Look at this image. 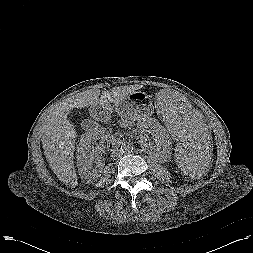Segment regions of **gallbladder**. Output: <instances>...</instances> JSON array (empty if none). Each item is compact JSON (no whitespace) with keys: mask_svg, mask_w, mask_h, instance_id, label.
I'll use <instances>...</instances> for the list:
<instances>
[{"mask_svg":"<svg viewBox=\"0 0 253 253\" xmlns=\"http://www.w3.org/2000/svg\"><path fill=\"white\" fill-rule=\"evenodd\" d=\"M85 123H86V120H83L81 125L84 126Z\"/></svg>","mask_w":253,"mask_h":253,"instance_id":"bac80fb5","label":"gallbladder"}]
</instances>
